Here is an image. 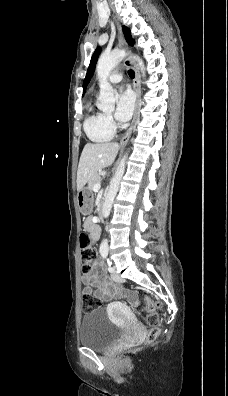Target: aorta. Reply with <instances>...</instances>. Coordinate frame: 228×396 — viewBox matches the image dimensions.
<instances>
[{"label":"aorta","mask_w":228,"mask_h":396,"mask_svg":"<svg viewBox=\"0 0 228 396\" xmlns=\"http://www.w3.org/2000/svg\"><path fill=\"white\" fill-rule=\"evenodd\" d=\"M125 56V51L114 50L109 54H102L98 60L96 71L100 85V96L97 106L102 111L114 109L117 93L108 82V76L110 72L125 58ZM133 58L137 61L143 76H145L144 62L142 59H140L138 56H133ZM127 157L128 154L126 153L119 162L114 177L111 179L102 208V214L104 218H107L110 215L114 198L117 194L121 179L125 172ZM100 251H108V242L106 239L101 242Z\"/></svg>","instance_id":"1"}]
</instances>
